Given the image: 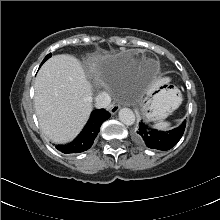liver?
<instances>
[{
    "instance_id": "1",
    "label": "liver",
    "mask_w": 220,
    "mask_h": 220,
    "mask_svg": "<svg viewBox=\"0 0 220 220\" xmlns=\"http://www.w3.org/2000/svg\"><path fill=\"white\" fill-rule=\"evenodd\" d=\"M34 88L35 110L44 134L55 143L71 141L92 111V86L81 63L68 54L52 56L40 68Z\"/></svg>"
}]
</instances>
